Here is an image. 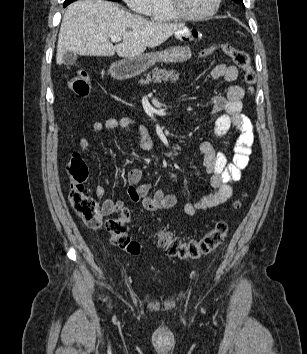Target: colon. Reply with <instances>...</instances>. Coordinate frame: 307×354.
Here are the masks:
<instances>
[{"label": "colon", "mask_w": 307, "mask_h": 354, "mask_svg": "<svg viewBox=\"0 0 307 354\" xmlns=\"http://www.w3.org/2000/svg\"><path fill=\"white\" fill-rule=\"evenodd\" d=\"M216 49H220L229 56L234 64L244 72V80L253 92L256 83V73L251 65L248 53L230 43H222L218 47L212 46L201 51V57L210 56ZM70 88L79 96H86L90 91L89 78L85 71L76 70L68 75ZM70 177L69 201L76 214L90 228L99 229L103 226L110 235L111 243L130 254H138L140 245L128 235L129 210L125 207L119 210V216L104 220L107 213L103 204L100 205L93 197L85 192V182L88 178V168L79 154H73L67 165ZM240 201L235 202V207ZM228 223L218 221L215 226L199 239L188 242L182 241L170 231L160 228L156 234L158 245L164 249L169 257L179 259H199L214 252L226 239Z\"/></svg>", "instance_id": "1"}]
</instances>
